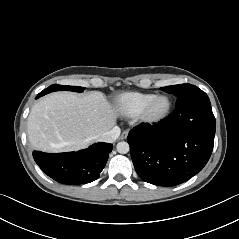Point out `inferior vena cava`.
<instances>
[{"label": "inferior vena cava", "mask_w": 239, "mask_h": 239, "mask_svg": "<svg viewBox=\"0 0 239 239\" xmlns=\"http://www.w3.org/2000/svg\"><path fill=\"white\" fill-rule=\"evenodd\" d=\"M120 135V128L114 126L111 130L103 132L99 135L98 140L101 142L113 143Z\"/></svg>", "instance_id": "obj_1"}]
</instances>
